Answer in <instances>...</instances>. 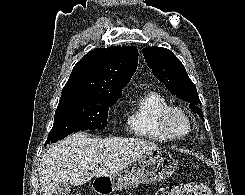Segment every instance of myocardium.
I'll use <instances>...</instances> for the list:
<instances>
[{
    "label": "myocardium",
    "instance_id": "myocardium-1",
    "mask_svg": "<svg viewBox=\"0 0 245 195\" xmlns=\"http://www.w3.org/2000/svg\"><path fill=\"white\" fill-rule=\"evenodd\" d=\"M174 114L181 115L188 123V131L184 135L175 134L170 127V118ZM158 126L163 135L168 140L172 141L184 140L191 134L193 129L192 119L189 114L184 109L177 106H168L160 112L158 117Z\"/></svg>",
    "mask_w": 245,
    "mask_h": 195
}]
</instances>
